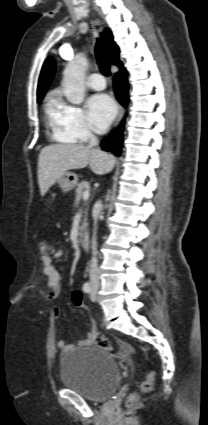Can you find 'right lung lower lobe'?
Here are the masks:
<instances>
[{
  "instance_id": "98d812e1",
  "label": "right lung lower lobe",
  "mask_w": 208,
  "mask_h": 425,
  "mask_svg": "<svg viewBox=\"0 0 208 425\" xmlns=\"http://www.w3.org/2000/svg\"><path fill=\"white\" fill-rule=\"evenodd\" d=\"M115 75V94L121 104L126 106L128 101L127 72L125 68L121 67L120 71ZM119 128L120 129L117 132L110 134L101 142V147L103 150L110 151L116 156L120 155L122 146V125Z\"/></svg>"
}]
</instances>
